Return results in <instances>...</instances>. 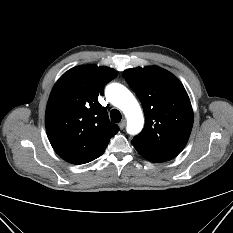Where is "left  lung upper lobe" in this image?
<instances>
[{"label":"left lung upper lobe","instance_id":"5c2ea615","mask_svg":"<svg viewBox=\"0 0 233 233\" xmlns=\"http://www.w3.org/2000/svg\"><path fill=\"white\" fill-rule=\"evenodd\" d=\"M124 78L138 95L145 114V127L132 142L182 150L192 130L193 111L181 82L157 66L127 69Z\"/></svg>","mask_w":233,"mask_h":233}]
</instances>
